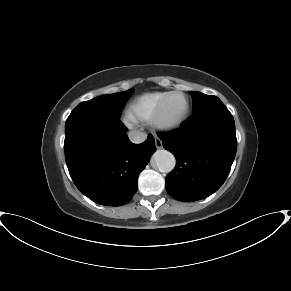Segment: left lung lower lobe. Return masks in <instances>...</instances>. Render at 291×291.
<instances>
[{
  "instance_id": "obj_1",
  "label": "left lung lower lobe",
  "mask_w": 291,
  "mask_h": 291,
  "mask_svg": "<svg viewBox=\"0 0 291 291\" xmlns=\"http://www.w3.org/2000/svg\"><path fill=\"white\" fill-rule=\"evenodd\" d=\"M160 138L176 158V167L166 176L170 196L197 201L221 187L237 148L234 118L224 104L193 115L180 129Z\"/></svg>"
}]
</instances>
